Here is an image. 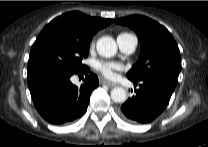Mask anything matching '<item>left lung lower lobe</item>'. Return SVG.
<instances>
[{
  "mask_svg": "<svg viewBox=\"0 0 208 147\" xmlns=\"http://www.w3.org/2000/svg\"><path fill=\"white\" fill-rule=\"evenodd\" d=\"M139 83L136 95L129 98L120 108L119 115L131 123H149L166 108L176 84L161 77H150Z\"/></svg>",
  "mask_w": 208,
  "mask_h": 147,
  "instance_id": "left-lung-lower-lobe-1",
  "label": "left lung lower lobe"
}]
</instances>
